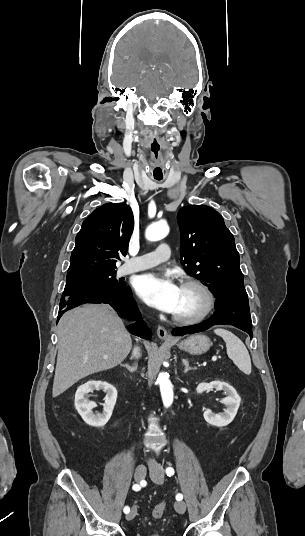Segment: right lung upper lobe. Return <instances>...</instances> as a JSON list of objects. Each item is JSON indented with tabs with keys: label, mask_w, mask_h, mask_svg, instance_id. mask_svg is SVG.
Returning a JSON list of instances; mask_svg holds the SVG:
<instances>
[{
	"label": "right lung upper lobe",
	"mask_w": 305,
	"mask_h": 536,
	"mask_svg": "<svg viewBox=\"0 0 305 536\" xmlns=\"http://www.w3.org/2000/svg\"><path fill=\"white\" fill-rule=\"evenodd\" d=\"M133 227L126 204L109 203L94 210L76 236L66 278L115 270L119 255L127 253Z\"/></svg>",
	"instance_id": "1"
}]
</instances>
